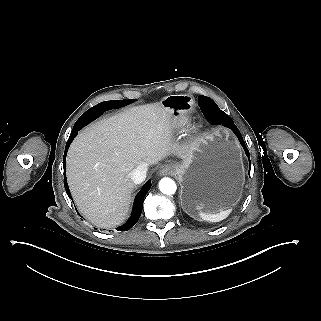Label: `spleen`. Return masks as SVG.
Wrapping results in <instances>:
<instances>
[{
	"mask_svg": "<svg viewBox=\"0 0 321 321\" xmlns=\"http://www.w3.org/2000/svg\"><path fill=\"white\" fill-rule=\"evenodd\" d=\"M231 212H232V208L220 211L219 213H215V214L199 212V216L202 220L207 222H220L226 219Z\"/></svg>",
	"mask_w": 321,
	"mask_h": 321,
	"instance_id": "obj_1",
	"label": "spleen"
}]
</instances>
